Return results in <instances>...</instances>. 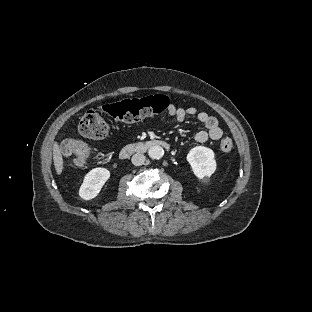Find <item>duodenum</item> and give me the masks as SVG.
I'll return each instance as SVG.
<instances>
[{
  "mask_svg": "<svg viewBox=\"0 0 312 312\" xmlns=\"http://www.w3.org/2000/svg\"><path fill=\"white\" fill-rule=\"evenodd\" d=\"M156 146L165 148L167 150H169L171 148L170 143L165 141V140L157 139V138L147 139V140H143V141H139V142H135V143H131V144L126 145L121 150L120 157L122 159H126L134 153L145 152V151H147L153 147H156Z\"/></svg>",
  "mask_w": 312,
  "mask_h": 312,
  "instance_id": "410a0bca",
  "label": "duodenum"
}]
</instances>
